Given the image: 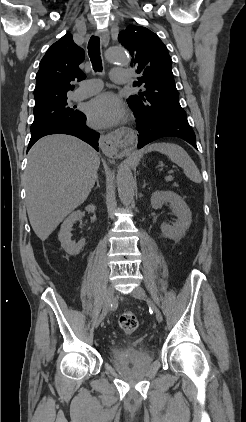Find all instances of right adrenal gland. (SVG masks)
<instances>
[{
    "label": "right adrenal gland",
    "instance_id": "1",
    "mask_svg": "<svg viewBox=\"0 0 246 422\" xmlns=\"http://www.w3.org/2000/svg\"><path fill=\"white\" fill-rule=\"evenodd\" d=\"M96 183H97L96 188H99L100 187V184H99V178H98V176L96 178Z\"/></svg>",
    "mask_w": 246,
    "mask_h": 422
}]
</instances>
